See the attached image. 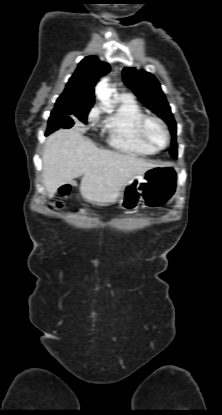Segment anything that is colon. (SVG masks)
I'll list each match as a JSON object with an SVG mask.
<instances>
[{
	"label": "colon",
	"mask_w": 222,
	"mask_h": 415,
	"mask_svg": "<svg viewBox=\"0 0 222 415\" xmlns=\"http://www.w3.org/2000/svg\"><path fill=\"white\" fill-rule=\"evenodd\" d=\"M68 193H69V187H68V186H63V187H61V189H60V194H61L62 196H67V195H68Z\"/></svg>",
	"instance_id": "1"
}]
</instances>
